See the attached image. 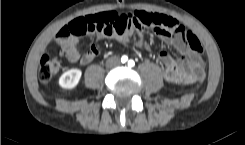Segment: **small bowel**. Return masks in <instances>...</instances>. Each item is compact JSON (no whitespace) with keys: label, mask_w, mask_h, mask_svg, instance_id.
<instances>
[{"label":"small bowel","mask_w":245,"mask_h":145,"mask_svg":"<svg viewBox=\"0 0 245 145\" xmlns=\"http://www.w3.org/2000/svg\"><path fill=\"white\" fill-rule=\"evenodd\" d=\"M141 13L153 14L154 12L135 11L128 15L134 20H139V15ZM99 15L103 16L107 22H111L117 19L121 14L117 12H106L103 14L80 17L79 20L86 23L89 17H97ZM160 15L166 16L164 14ZM87 33L93 39V43L90 48L82 54L79 53L76 37L67 38L62 42V54L70 63L81 65L90 63L100 54L98 42L101 39L117 38L124 41L128 36L127 34L119 36L114 30L109 28L102 32L93 28ZM155 35L166 44L172 45L180 54L179 58H173L166 51L161 50L158 53L164 65V77L168 82L190 84L201 81L205 78V67L202 56L198 52L192 50L182 36L173 34L164 26L157 28ZM144 47L147 50H152L151 46L148 44H144Z\"/></svg>","instance_id":"c3829d8e"}]
</instances>
